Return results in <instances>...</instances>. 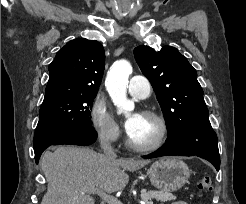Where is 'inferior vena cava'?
I'll return each mask as SVG.
<instances>
[{"mask_svg": "<svg viewBox=\"0 0 246 204\" xmlns=\"http://www.w3.org/2000/svg\"><path fill=\"white\" fill-rule=\"evenodd\" d=\"M101 148H102L103 153L107 159L113 160L117 157L116 153H115V151H114V149H113V147H112V145L108 139L101 140Z\"/></svg>", "mask_w": 246, "mask_h": 204, "instance_id": "inferior-vena-cava-1", "label": "inferior vena cava"}]
</instances>
